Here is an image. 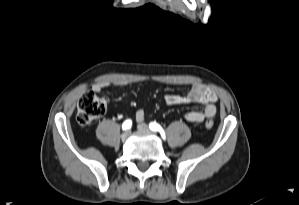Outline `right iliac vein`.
<instances>
[{
	"instance_id": "obj_1",
	"label": "right iliac vein",
	"mask_w": 299,
	"mask_h": 205,
	"mask_svg": "<svg viewBox=\"0 0 299 205\" xmlns=\"http://www.w3.org/2000/svg\"><path fill=\"white\" fill-rule=\"evenodd\" d=\"M129 136H130V131L129 130L125 131L121 136L122 141L125 142L129 138Z\"/></svg>"
}]
</instances>
